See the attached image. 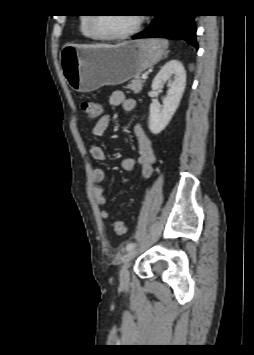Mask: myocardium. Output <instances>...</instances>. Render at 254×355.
<instances>
[{
    "label": "myocardium",
    "instance_id": "obj_1",
    "mask_svg": "<svg viewBox=\"0 0 254 355\" xmlns=\"http://www.w3.org/2000/svg\"><path fill=\"white\" fill-rule=\"evenodd\" d=\"M98 21L99 18L97 17H91L89 19V28L94 37L98 40H103V41H121L130 38L134 34L138 32V30L141 27L142 23V18L140 15L135 16V21L133 26L128 29L127 31L121 33V34H115V35H107L102 33L99 28H98Z\"/></svg>",
    "mask_w": 254,
    "mask_h": 355
}]
</instances>
